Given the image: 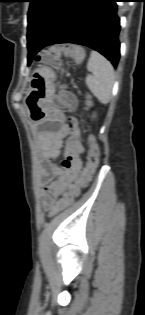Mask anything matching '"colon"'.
I'll list each match as a JSON object with an SVG mask.
<instances>
[{
	"label": "colon",
	"mask_w": 145,
	"mask_h": 315,
	"mask_svg": "<svg viewBox=\"0 0 145 315\" xmlns=\"http://www.w3.org/2000/svg\"><path fill=\"white\" fill-rule=\"evenodd\" d=\"M63 55L68 56L72 61L78 63L82 61L84 57V51L82 48L73 46L64 48L50 47L44 49L41 52L39 55V61L46 65L57 66L61 63ZM55 103L61 109H73L76 104V97L71 91L61 89L55 97ZM99 162L100 155L98 147L92 142L91 139H89L87 163L81 178L75 184H73L64 194L63 198L55 204L52 211L53 214L64 210L74 202L76 197L79 195L81 188L88 183L91 176L98 168Z\"/></svg>",
	"instance_id": "colon-1"
}]
</instances>
